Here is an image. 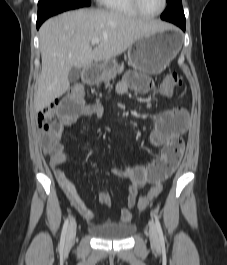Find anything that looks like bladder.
<instances>
[{"label": "bladder", "mask_w": 227, "mask_h": 265, "mask_svg": "<svg viewBox=\"0 0 227 265\" xmlns=\"http://www.w3.org/2000/svg\"><path fill=\"white\" fill-rule=\"evenodd\" d=\"M89 232L96 238L103 240H124L129 238L135 231L132 223L113 225V224H94L88 228Z\"/></svg>", "instance_id": "bladder-1"}]
</instances>
